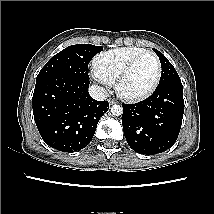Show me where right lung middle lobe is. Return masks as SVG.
Returning a JSON list of instances; mask_svg holds the SVG:
<instances>
[{
    "mask_svg": "<svg viewBox=\"0 0 214 214\" xmlns=\"http://www.w3.org/2000/svg\"><path fill=\"white\" fill-rule=\"evenodd\" d=\"M103 48L91 44L72 45L54 55L41 69L36 81L52 75H68L89 80L88 64Z\"/></svg>",
    "mask_w": 214,
    "mask_h": 214,
    "instance_id": "1",
    "label": "right lung middle lobe"
}]
</instances>
